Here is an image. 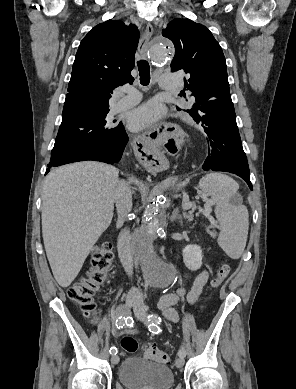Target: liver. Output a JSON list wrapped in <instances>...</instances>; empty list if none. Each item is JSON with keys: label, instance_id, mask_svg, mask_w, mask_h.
Segmentation results:
<instances>
[{"label": "liver", "instance_id": "6515ba94", "mask_svg": "<svg viewBox=\"0 0 296 389\" xmlns=\"http://www.w3.org/2000/svg\"><path fill=\"white\" fill-rule=\"evenodd\" d=\"M119 171L85 161L64 165L46 177L42 194V235L58 284L68 287L113 218Z\"/></svg>", "mask_w": 296, "mask_h": 389}]
</instances>
